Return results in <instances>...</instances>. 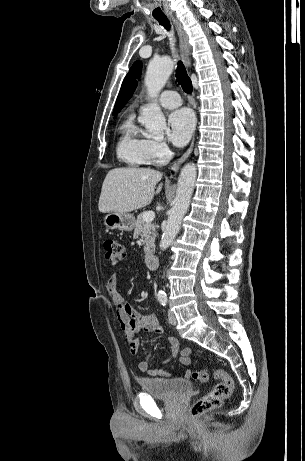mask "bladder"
I'll use <instances>...</instances> for the list:
<instances>
[{"instance_id":"bladder-1","label":"bladder","mask_w":305,"mask_h":461,"mask_svg":"<svg viewBox=\"0 0 305 461\" xmlns=\"http://www.w3.org/2000/svg\"><path fill=\"white\" fill-rule=\"evenodd\" d=\"M137 382L143 392L165 400L175 399L192 388L186 379L140 377Z\"/></svg>"}]
</instances>
